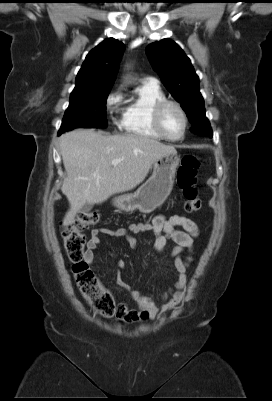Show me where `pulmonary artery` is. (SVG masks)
<instances>
[{"instance_id":"pulmonary-artery-1","label":"pulmonary artery","mask_w":272,"mask_h":401,"mask_svg":"<svg viewBox=\"0 0 272 401\" xmlns=\"http://www.w3.org/2000/svg\"><path fill=\"white\" fill-rule=\"evenodd\" d=\"M143 83L144 84H149V85H157L158 84L157 80L155 78H152V77L144 78L143 79Z\"/></svg>"}]
</instances>
